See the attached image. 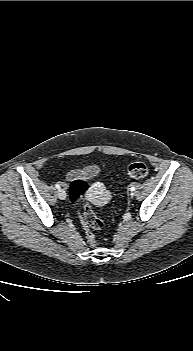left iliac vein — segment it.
I'll use <instances>...</instances> for the list:
<instances>
[{
	"instance_id": "obj_1",
	"label": "left iliac vein",
	"mask_w": 193,
	"mask_h": 351,
	"mask_svg": "<svg viewBox=\"0 0 193 351\" xmlns=\"http://www.w3.org/2000/svg\"><path fill=\"white\" fill-rule=\"evenodd\" d=\"M130 196H131V197L134 196V191H131Z\"/></svg>"
}]
</instances>
